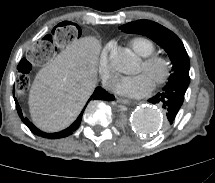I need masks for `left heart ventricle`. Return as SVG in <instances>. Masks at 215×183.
<instances>
[{"label":"left heart ventricle","instance_id":"1","mask_svg":"<svg viewBox=\"0 0 215 183\" xmlns=\"http://www.w3.org/2000/svg\"><path fill=\"white\" fill-rule=\"evenodd\" d=\"M139 72H144V73H146V74L149 76V78L152 80V82H153L154 78H155L156 76L159 75L160 69L157 68V69L148 71V70H145L143 64L141 63V64H140V67H139Z\"/></svg>","mask_w":215,"mask_h":183}]
</instances>
